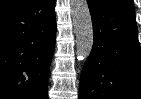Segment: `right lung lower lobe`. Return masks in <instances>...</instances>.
I'll use <instances>...</instances> for the list:
<instances>
[{
	"label": "right lung lower lobe",
	"instance_id": "98d812e1",
	"mask_svg": "<svg viewBox=\"0 0 141 99\" xmlns=\"http://www.w3.org/2000/svg\"><path fill=\"white\" fill-rule=\"evenodd\" d=\"M55 0H22L0 11V99H47Z\"/></svg>",
	"mask_w": 141,
	"mask_h": 99
}]
</instances>
